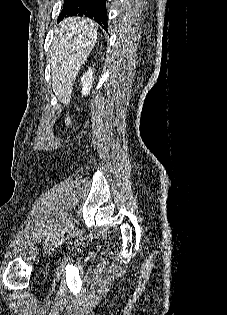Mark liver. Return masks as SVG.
I'll list each match as a JSON object with an SVG mask.
<instances>
[{"instance_id":"1","label":"liver","mask_w":227,"mask_h":315,"mask_svg":"<svg viewBox=\"0 0 227 315\" xmlns=\"http://www.w3.org/2000/svg\"><path fill=\"white\" fill-rule=\"evenodd\" d=\"M97 24L83 17L64 19L56 29L50 55L52 87L65 105L70 102L75 79L97 40ZM69 117L66 125H70Z\"/></svg>"}]
</instances>
